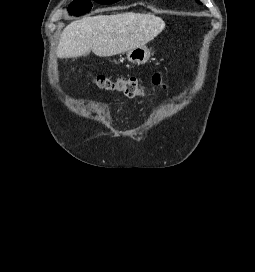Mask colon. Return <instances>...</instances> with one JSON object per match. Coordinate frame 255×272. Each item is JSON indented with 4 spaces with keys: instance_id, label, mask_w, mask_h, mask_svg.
I'll use <instances>...</instances> for the list:
<instances>
[{
    "instance_id": "colon-1",
    "label": "colon",
    "mask_w": 255,
    "mask_h": 272,
    "mask_svg": "<svg viewBox=\"0 0 255 272\" xmlns=\"http://www.w3.org/2000/svg\"><path fill=\"white\" fill-rule=\"evenodd\" d=\"M92 80L100 89L106 91H116L130 99L143 97L146 92L145 86L134 77H111L108 75H97L94 76ZM151 83L155 87L165 86L161 73H155L151 78Z\"/></svg>"
}]
</instances>
